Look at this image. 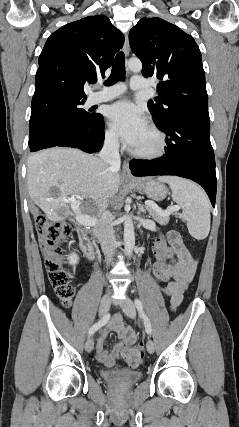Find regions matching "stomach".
<instances>
[{
    "mask_svg": "<svg viewBox=\"0 0 239 427\" xmlns=\"http://www.w3.org/2000/svg\"><path fill=\"white\" fill-rule=\"evenodd\" d=\"M129 186L137 190L140 194H144L156 201L163 200L168 193V189L164 184L152 178L135 180L134 182H130Z\"/></svg>",
    "mask_w": 239,
    "mask_h": 427,
    "instance_id": "1",
    "label": "stomach"
}]
</instances>
